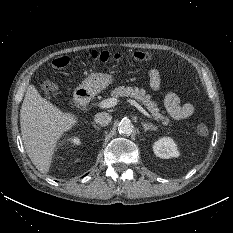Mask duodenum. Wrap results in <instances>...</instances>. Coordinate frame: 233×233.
Segmentation results:
<instances>
[{
  "label": "duodenum",
  "mask_w": 233,
  "mask_h": 233,
  "mask_svg": "<svg viewBox=\"0 0 233 233\" xmlns=\"http://www.w3.org/2000/svg\"><path fill=\"white\" fill-rule=\"evenodd\" d=\"M75 101L80 107L87 106L91 102V94L87 90H80L76 95Z\"/></svg>",
  "instance_id": "1"
}]
</instances>
